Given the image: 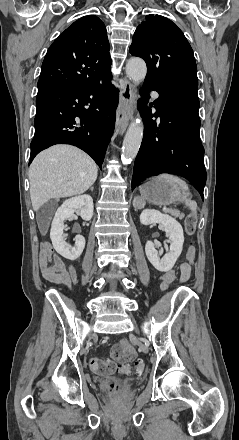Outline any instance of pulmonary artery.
<instances>
[{"label":"pulmonary artery","mask_w":239,"mask_h":440,"mask_svg":"<svg viewBox=\"0 0 239 440\" xmlns=\"http://www.w3.org/2000/svg\"><path fill=\"white\" fill-rule=\"evenodd\" d=\"M153 97H154L155 99H157V98H158V94H157V93H154V94H153Z\"/></svg>","instance_id":"pulmonary-artery-1"}]
</instances>
